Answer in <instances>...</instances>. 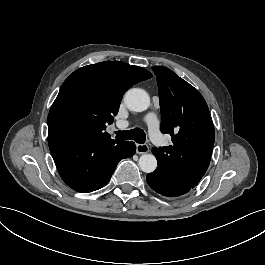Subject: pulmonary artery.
Instances as JSON below:
<instances>
[{
    "label": "pulmonary artery",
    "mask_w": 265,
    "mask_h": 265,
    "mask_svg": "<svg viewBox=\"0 0 265 265\" xmlns=\"http://www.w3.org/2000/svg\"><path fill=\"white\" fill-rule=\"evenodd\" d=\"M145 127L148 130H152L149 133V140L154 148H162L165 145V138L159 130H156L159 126V119L156 113H148L144 118ZM129 126L128 121L117 122L115 127L117 129H125Z\"/></svg>",
    "instance_id": "obj_1"
}]
</instances>
